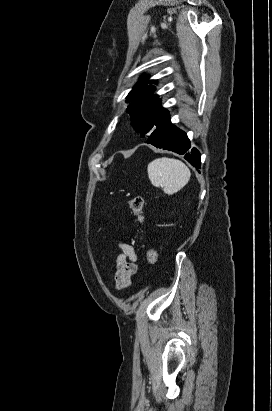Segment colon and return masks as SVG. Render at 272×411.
<instances>
[{
  "mask_svg": "<svg viewBox=\"0 0 272 411\" xmlns=\"http://www.w3.org/2000/svg\"><path fill=\"white\" fill-rule=\"evenodd\" d=\"M127 206L131 209L137 220L142 221L144 219V200L141 196L130 198L127 202ZM146 259L152 265L158 263V255L154 250L147 251Z\"/></svg>",
  "mask_w": 272,
  "mask_h": 411,
  "instance_id": "obj_1",
  "label": "colon"
}]
</instances>
